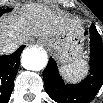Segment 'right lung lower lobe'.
Here are the masks:
<instances>
[{
	"mask_svg": "<svg viewBox=\"0 0 103 103\" xmlns=\"http://www.w3.org/2000/svg\"><path fill=\"white\" fill-rule=\"evenodd\" d=\"M24 47H20L11 55L0 56V89L2 98L7 99L10 97L19 68L20 54Z\"/></svg>",
	"mask_w": 103,
	"mask_h": 103,
	"instance_id": "98d812e1",
	"label": "right lung lower lobe"
}]
</instances>
